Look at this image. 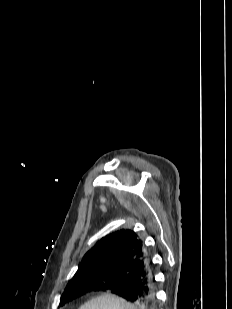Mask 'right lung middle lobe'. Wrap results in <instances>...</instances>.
<instances>
[{
    "instance_id": "right-lung-middle-lobe-1",
    "label": "right lung middle lobe",
    "mask_w": 232,
    "mask_h": 309,
    "mask_svg": "<svg viewBox=\"0 0 232 309\" xmlns=\"http://www.w3.org/2000/svg\"><path fill=\"white\" fill-rule=\"evenodd\" d=\"M128 279L126 274L117 273L112 274L106 271H96L89 272L83 275L77 276L72 279L64 290L63 295L61 296V301L59 306H62L82 295H84L87 289L91 287H97L104 284L105 280L110 282H125Z\"/></svg>"
}]
</instances>
